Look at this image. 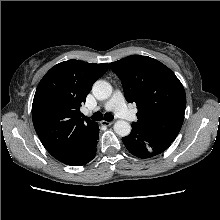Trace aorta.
Listing matches in <instances>:
<instances>
[{"instance_id":"1","label":"aorta","mask_w":220,"mask_h":220,"mask_svg":"<svg viewBox=\"0 0 220 220\" xmlns=\"http://www.w3.org/2000/svg\"><path fill=\"white\" fill-rule=\"evenodd\" d=\"M92 93L98 100H106L112 94V86L104 80H98L92 87ZM114 131L121 137L128 136L131 132V125L125 120H117L114 124Z\"/></svg>"}]
</instances>
